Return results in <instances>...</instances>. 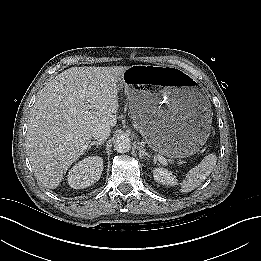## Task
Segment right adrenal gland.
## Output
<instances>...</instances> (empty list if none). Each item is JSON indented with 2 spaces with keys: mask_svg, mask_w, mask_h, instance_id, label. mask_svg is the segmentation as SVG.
<instances>
[{
  "mask_svg": "<svg viewBox=\"0 0 261 261\" xmlns=\"http://www.w3.org/2000/svg\"><path fill=\"white\" fill-rule=\"evenodd\" d=\"M104 142L103 141H93L90 143V145L88 146V149H90L92 146H96L99 147L100 145H102Z\"/></svg>",
  "mask_w": 261,
  "mask_h": 261,
  "instance_id": "2a0ac1e0",
  "label": "right adrenal gland"
}]
</instances>
